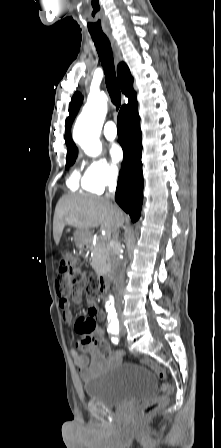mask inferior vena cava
I'll use <instances>...</instances> for the list:
<instances>
[{
    "instance_id": "obj_1",
    "label": "inferior vena cava",
    "mask_w": 221,
    "mask_h": 448,
    "mask_svg": "<svg viewBox=\"0 0 221 448\" xmlns=\"http://www.w3.org/2000/svg\"><path fill=\"white\" fill-rule=\"evenodd\" d=\"M116 180H117V173H111V176L108 180L109 185V192L106 193V198L109 200L114 199L115 194V188H116ZM120 250L121 245L118 240V232L115 231L113 234V246L110 250V258H111V265H112V272L114 274V284H115V290H116V307L117 311L121 312V296L120 291L122 289L123 283H124V270L122 266V262L120 260Z\"/></svg>"
}]
</instances>
